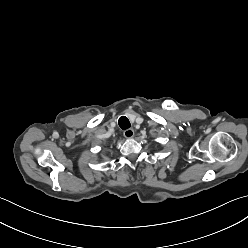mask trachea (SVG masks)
<instances>
[{
  "label": "trachea",
  "instance_id": "trachea-1",
  "mask_svg": "<svg viewBox=\"0 0 248 248\" xmlns=\"http://www.w3.org/2000/svg\"><path fill=\"white\" fill-rule=\"evenodd\" d=\"M118 124H119L120 128L123 130L128 129L131 126L129 120L124 116L119 118Z\"/></svg>",
  "mask_w": 248,
  "mask_h": 248
}]
</instances>
